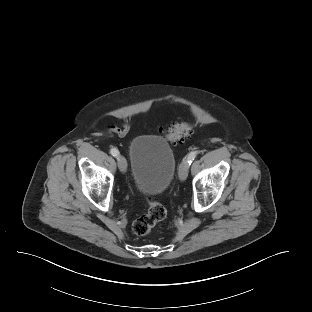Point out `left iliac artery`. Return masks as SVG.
<instances>
[{
	"label": "left iliac artery",
	"instance_id": "left-iliac-artery-1",
	"mask_svg": "<svg viewBox=\"0 0 312 312\" xmlns=\"http://www.w3.org/2000/svg\"><path fill=\"white\" fill-rule=\"evenodd\" d=\"M196 156H197V152L196 151H192V152H190L189 154H188V156H187V163L189 164V165H191V163L193 162V160L196 158Z\"/></svg>",
	"mask_w": 312,
	"mask_h": 312
}]
</instances>
